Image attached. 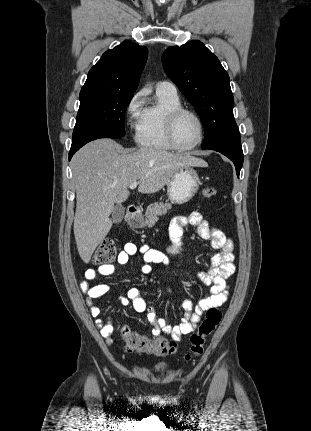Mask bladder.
Listing matches in <instances>:
<instances>
[{"mask_svg": "<svg viewBox=\"0 0 311 431\" xmlns=\"http://www.w3.org/2000/svg\"><path fill=\"white\" fill-rule=\"evenodd\" d=\"M168 369V366L165 364H160L155 366L154 370L157 372H165Z\"/></svg>", "mask_w": 311, "mask_h": 431, "instance_id": "obj_1", "label": "bladder"}]
</instances>
